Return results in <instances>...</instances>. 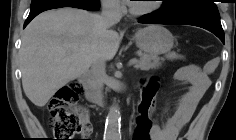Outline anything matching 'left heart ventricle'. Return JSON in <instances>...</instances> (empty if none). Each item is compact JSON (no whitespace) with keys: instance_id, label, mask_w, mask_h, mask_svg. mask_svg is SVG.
Wrapping results in <instances>:
<instances>
[{"instance_id":"left-heart-ventricle-1","label":"left heart ventricle","mask_w":236,"mask_h":140,"mask_svg":"<svg viewBox=\"0 0 236 140\" xmlns=\"http://www.w3.org/2000/svg\"><path fill=\"white\" fill-rule=\"evenodd\" d=\"M137 2H139V3H134V5L136 7H140V8L147 7V6L151 5V3H148V2H151V1H137Z\"/></svg>"}]
</instances>
